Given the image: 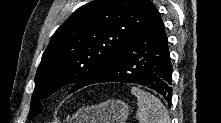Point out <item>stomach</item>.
Returning <instances> with one entry per match:
<instances>
[{
  "mask_svg": "<svg viewBox=\"0 0 221 123\" xmlns=\"http://www.w3.org/2000/svg\"><path fill=\"white\" fill-rule=\"evenodd\" d=\"M128 115V105L113 99L79 109L68 123H125Z\"/></svg>",
  "mask_w": 221,
  "mask_h": 123,
  "instance_id": "obj_1",
  "label": "stomach"
}]
</instances>
